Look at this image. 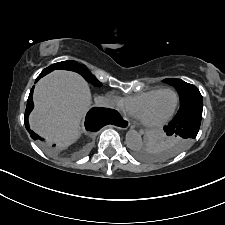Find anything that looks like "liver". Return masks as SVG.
Masks as SVG:
<instances>
[{"label":"liver","mask_w":225,"mask_h":225,"mask_svg":"<svg viewBox=\"0 0 225 225\" xmlns=\"http://www.w3.org/2000/svg\"><path fill=\"white\" fill-rule=\"evenodd\" d=\"M33 98L29 121L35 132L61 146L79 137L80 121L91 103L89 86L80 75L54 71L36 84Z\"/></svg>","instance_id":"1"}]
</instances>
